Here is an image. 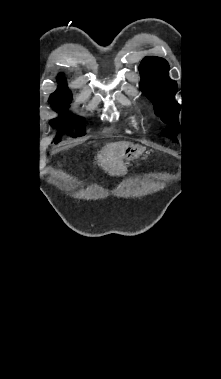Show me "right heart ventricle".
<instances>
[{
	"label": "right heart ventricle",
	"mask_w": 221,
	"mask_h": 379,
	"mask_svg": "<svg viewBox=\"0 0 221 379\" xmlns=\"http://www.w3.org/2000/svg\"><path fill=\"white\" fill-rule=\"evenodd\" d=\"M140 127V118L134 113L129 114L127 118V132L138 131Z\"/></svg>",
	"instance_id": "1"
}]
</instances>
